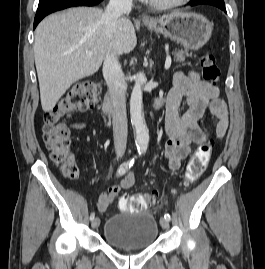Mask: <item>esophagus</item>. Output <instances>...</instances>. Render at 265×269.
Instances as JSON below:
<instances>
[{
  "label": "esophagus",
  "mask_w": 265,
  "mask_h": 269,
  "mask_svg": "<svg viewBox=\"0 0 265 269\" xmlns=\"http://www.w3.org/2000/svg\"><path fill=\"white\" fill-rule=\"evenodd\" d=\"M141 21H143V22H149L150 21V18L147 17V16H142L141 17Z\"/></svg>",
  "instance_id": "obj_1"
}]
</instances>
